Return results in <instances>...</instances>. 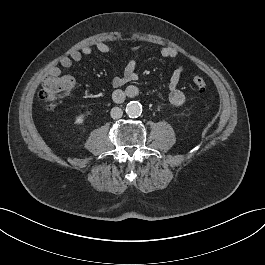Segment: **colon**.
Listing matches in <instances>:
<instances>
[{"label": "colon", "mask_w": 265, "mask_h": 265, "mask_svg": "<svg viewBox=\"0 0 265 265\" xmlns=\"http://www.w3.org/2000/svg\"><path fill=\"white\" fill-rule=\"evenodd\" d=\"M193 84L204 91L207 87L206 80L201 76H194ZM74 87V79L68 75H49L43 82L39 98L47 111H53L59 102L69 96Z\"/></svg>", "instance_id": "obj_1"}]
</instances>
